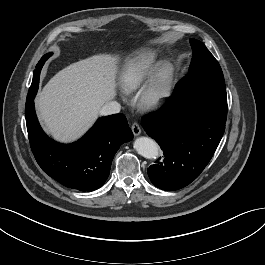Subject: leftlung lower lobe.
<instances>
[{
    "label": "left lung lower lobe",
    "mask_w": 265,
    "mask_h": 265,
    "mask_svg": "<svg viewBox=\"0 0 265 265\" xmlns=\"http://www.w3.org/2000/svg\"><path fill=\"white\" fill-rule=\"evenodd\" d=\"M226 120L191 102L172 96L158 112L145 117L142 126L164 152L147 171L156 187L173 191L194 181L211 160L225 131Z\"/></svg>",
    "instance_id": "1"
}]
</instances>
